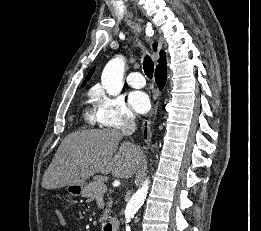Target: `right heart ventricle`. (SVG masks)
<instances>
[{
    "label": "right heart ventricle",
    "mask_w": 261,
    "mask_h": 231,
    "mask_svg": "<svg viewBox=\"0 0 261 231\" xmlns=\"http://www.w3.org/2000/svg\"><path fill=\"white\" fill-rule=\"evenodd\" d=\"M83 119L87 124L91 126H94L98 123L95 110L91 108L85 109L83 113Z\"/></svg>",
    "instance_id": "e07e8e85"
}]
</instances>
